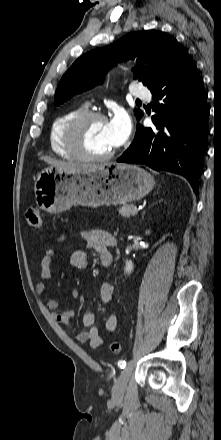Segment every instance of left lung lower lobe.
<instances>
[{
  "label": "left lung lower lobe",
  "mask_w": 221,
  "mask_h": 440,
  "mask_svg": "<svg viewBox=\"0 0 221 440\" xmlns=\"http://www.w3.org/2000/svg\"><path fill=\"white\" fill-rule=\"evenodd\" d=\"M152 92L153 128L137 124L129 148L117 162L145 164L184 176L198 193L207 149V94L203 80L185 49L149 87ZM162 100L161 103H156Z\"/></svg>",
  "instance_id": "left-lung-lower-lobe-1"
}]
</instances>
